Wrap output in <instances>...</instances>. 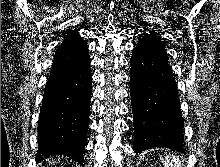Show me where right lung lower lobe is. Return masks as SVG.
<instances>
[{"instance_id": "obj_1", "label": "right lung lower lobe", "mask_w": 220, "mask_h": 167, "mask_svg": "<svg viewBox=\"0 0 220 167\" xmlns=\"http://www.w3.org/2000/svg\"><path fill=\"white\" fill-rule=\"evenodd\" d=\"M89 63L51 73L38 122L37 162L64 155L83 163L92 87Z\"/></svg>"}]
</instances>
